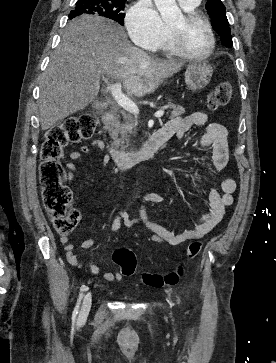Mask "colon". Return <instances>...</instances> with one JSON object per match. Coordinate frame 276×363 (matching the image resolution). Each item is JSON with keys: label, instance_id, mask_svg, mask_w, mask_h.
Masks as SVG:
<instances>
[{"label": "colon", "instance_id": "5ec220e1", "mask_svg": "<svg viewBox=\"0 0 276 363\" xmlns=\"http://www.w3.org/2000/svg\"><path fill=\"white\" fill-rule=\"evenodd\" d=\"M232 87L222 82L209 94L207 106L215 111L228 104ZM96 117L92 113L69 116L60 123L49 128L41 148V165L39 178L43 206L48 213L56 233L62 236L70 234L80 220V212L72 207V192L65 184L67 173L61 162L67 145L88 139L93 135ZM201 249L198 241L192 242L187 248V258H195ZM113 260L122 269L125 276L133 275L136 269V256L133 251L120 248L113 254ZM183 275V269L166 276L143 273L142 282L149 287L160 288L175 285Z\"/></svg>", "mask_w": 276, "mask_h": 363}]
</instances>
